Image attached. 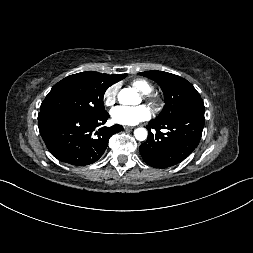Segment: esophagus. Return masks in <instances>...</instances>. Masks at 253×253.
<instances>
[{
	"label": "esophagus",
	"instance_id": "obj_1",
	"mask_svg": "<svg viewBox=\"0 0 253 253\" xmlns=\"http://www.w3.org/2000/svg\"><path fill=\"white\" fill-rule=\"evenodd\" d=\"M135 127H133V126H124V129L125 130H132V129H134Z\"/></svg>",
	"mask_w": 253,
	"mask_h": 253
}]
</instances>
